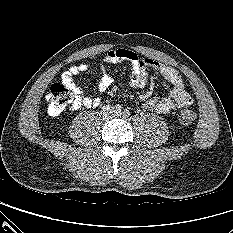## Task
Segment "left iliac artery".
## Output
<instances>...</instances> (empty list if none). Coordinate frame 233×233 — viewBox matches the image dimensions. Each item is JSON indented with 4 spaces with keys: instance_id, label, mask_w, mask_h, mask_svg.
<instances>
[{
    "instance_id": "44dca946",
    "label": "left iliac artery",
    "mask_w": 233,
    "mask_h": 233,
    "mask_svg": "<svg viewBox=\"0 0 233 233\" xmlns=\"http://www.w3.org/2000/svg\"><path fill=\"white\" fill-rule=\"evenodd\" d=\"M129 115H130V111L129 110L126 109V110L123 111V116L124 117H128Z\"/></svg>"
}]
</instances>
